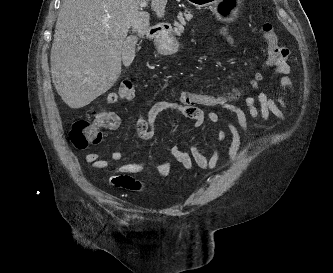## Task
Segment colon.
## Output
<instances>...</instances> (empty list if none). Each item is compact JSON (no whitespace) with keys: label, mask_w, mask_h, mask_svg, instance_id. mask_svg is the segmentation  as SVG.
I'll return each instance as SVG.
<instances>
[{"label":"colon","mask_w":333,"mask_h":273,"mask_svg":"<svg viewBox=\"0 0 333 273\" xmlns=\"http://www.w3.org/2000/svg\"><path fill=\"white\" fill-rule=\"evenodd\" d=\"M263 37L267 42V53L264 64L273 66L282 52V46L278 43L277 35L273 25L265 22L262 26ZM262 79V74L258 73L251 83L254 87ZM123 96L132 98L134 94L133 83L130 80H124L118 90ZM243 94H212L186 91L179 96L180 103L191 107L206 108H226L234 104ZM114 119L108 115L96 113L93 119H82L74 123L70 132V139L78 149H84L89 145L99 143L102 137L101 129L113 123Z\"/></svg>","instance_id":"5ec220e1"}]
</instances>
